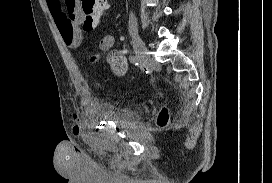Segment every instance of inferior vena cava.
<instances>
[{"instance_id": "1", "label": "inferior vena cava", "mask_w": 272, "mask_h": 183, "mask_svg": "<svg viewBox=\"0 0 272 183\" xmlns=\"http://www.w3.org/2000/svg\"><path fill=\"white\" fill-rule=\"evenodd\" d=\"M137 27V21L135 16L131 13L129 17V28L130 30H134Z\"/></svg>"}]
</instances>
